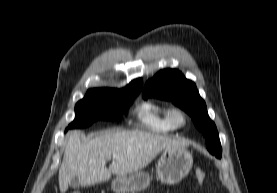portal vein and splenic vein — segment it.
Here are the masks:
<instances>
[{
    "label": "portal vein and splenic vein",
    "mask_w": 277,
    "mask_h": 193,
    "mask_svg": "<svg viewBox=\"0 0 277 193\" xmlns=\"http://www.w3.org/2000/svg\"><path fill=\"white\" fill-rule=\"evenodd\" d=\"M117 156L115 154L112 155V158L115 159Z\"/></svg>",
    "instance_id": "18ae733b"
}]
</instances>
